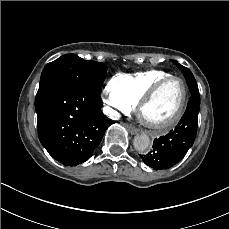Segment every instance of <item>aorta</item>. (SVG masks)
<instances>
[{"label":"aorta","instance_id":"obj_1","mask_svg":"<svg viewBox=\"0 0 229 229\" xmlns=\"http://www.w3.org/2000/svg\"><path fill=\"white\" fill-rule=\"evenodd\" d=\"M133 144L138 152H146L150 146V138L146 134L137 135L134 138Z\"/></svg>","mask_w":229,"mask_h":229}]
</instances>
